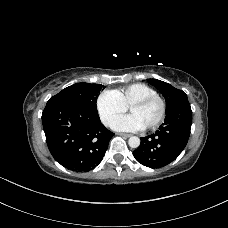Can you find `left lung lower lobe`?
Masks as SVG:
<instances>
[{
  "label": "left lung lower lobe",
  "instance_id": "obj_1",
  "mask_svg": "<svg viewBox=\"0 0 228 228\" xmlns=\"http://www.w3.org/2000/svg\"><path fill=\"white\" fill-rule=\"evenodd\" d=\"M181 113L166 114L164 124L154 134L141 138L140 146L133 152L135 159L144 166L160 168L174 161L185 148L192 125L189 102L180 106Z\"/></svg>",
  "mask_w": 228,
  "mask_h": 228
}]
</instances>
